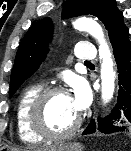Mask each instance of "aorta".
<instances>
[{
  "label": "aorta",
  "mask_w": 131,
  "mask_h": 151,
  "mask_svg": "<svg viewBox=\"0 0 131 151\" xmlns=\"http://www.w3.org/2000/svg\"><path fill=\"white\" fill-rule=\"evenodd\" d=\"M74 28L86 31L92 35L99 43V55L101 59V97L104 104L112 98L115 90V72L111 53L104 38L101 26L90 18H79L73 23Z\"/></svg>",
  "instance_id": "762f6f07"
}]
</instances>
